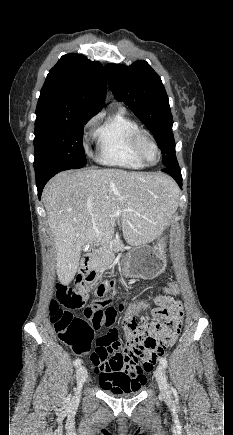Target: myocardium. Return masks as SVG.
<instances>
[{"mask_svg":"<svg viewBox=\"0 0 233 435\" xmlns=\"http://www.w3.org/2000/svg\"><path fill=\"white\" fill-rule=\"evenodd\" d=\"M145 143H149L155 148L157 155H158V159L156 162L150 163L147 160L146 155H145V151H144V144ZM133 145H134V148H135V151H136L138 157L142 160V162L145 165L155 166L158 164L159 160L161 159V149H160L158 143L156 142V140L150 134V132H148L147 130H144V129H138L133 135Z\"/></svg>","mask_w":233,"mask_h":435,"instance_id":"obj_1","label":"myocardium"}]
</instances>
